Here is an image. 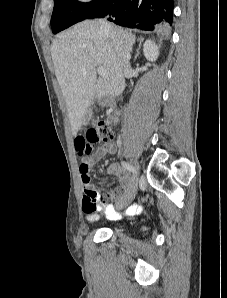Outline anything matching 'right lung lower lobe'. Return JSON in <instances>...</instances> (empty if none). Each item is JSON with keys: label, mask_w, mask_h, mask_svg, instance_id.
Wrapping results in <instances>:
<instances>
[{"label": "right lung lower lobe", "mask_w": 227, "mask_h": 298, "mask_svg": "<svg viewBox=\"0 0 227 298\" xmlns=\"http://www.w3.org/2000/svg\"><path fill=\"white\" fill-rule=\"evenodd\" d=\"M172 13L173 0H106L86 19L110 15L108 20L118 25L152 31L171 24Z\"/></svg>", "instance_id": "1"}]
</instances>
